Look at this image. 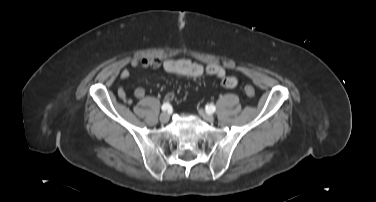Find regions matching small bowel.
Instances as JSON below:
<instances>
[{
	"label": "small bowel",
	"mask_w": 376,
	"mask_h": 202,
	"mask_svg": "<svg viewBox=\"0 0 376 202\" xmlns=\"http://www.w3.org/2000/svg\"><path fill=\"white\" fill-rule=\"evenodd\" d=\"M133 68L143 67L151 69H161L166 73L175 74L180 76H186L190 78H200L205 74L215 75L219 77L222 84L227 88H234L237 85V79L233 76L226 74L225 70L217 64L202 65L193 62L188 59H167L161 60L155 57L136 58L131 61ZM120 78L125 81L131 76V71L128 68H124L120 71ZM118 98L126 103L131 104L133 99L128 96L124 88L119 87L117 89ZM145 96V90L142 87H138L134 91L135 98H143ZM167 100L170 101L173 98L172 93L167 94Z\"/></svg>",
	"instance_id": "small-bowel-1"
}]
</instances>
